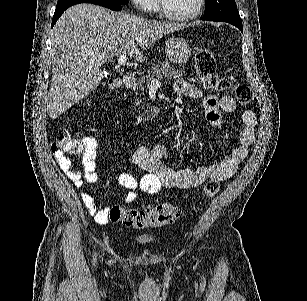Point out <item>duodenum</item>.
Masks as SVG:
<instances>
[{"label":"duodenum","instance_id":"obj_1","mask_svg":"<svg viewBox=\"0 0 307 301\" xmlns=\"http://www.w3.org/2000/svg\"><path fill=\"white\" fill-rule=\"evenodd\" d=\"M126 87H132L135 84V78L131 75H126L123 78Z\"/></svg>","mask_w":307,"mask_h":301}]
</instances>
